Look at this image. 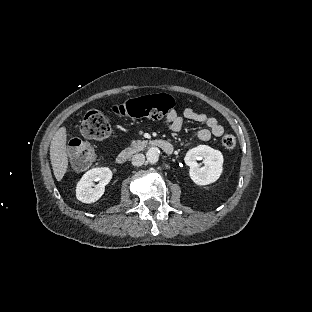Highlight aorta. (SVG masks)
Listing matches in <instances>:
<instances>
[{"label": "aorta", "mask_w": 312, "mask_h": 312, "mask_svg": "<svg viewBox=\"0 0 312 312\" xmlns=\"http://www.w3.org/2000/svg\"><path fill=\"white\" fill-rule=\"evenodd\" d=\"M159 154H160V151L157 147H151L148 151H147V160L154 164L158 161L159 159Z\"/></svg>", "instance_id": "aorta-1"}]
</instances>
